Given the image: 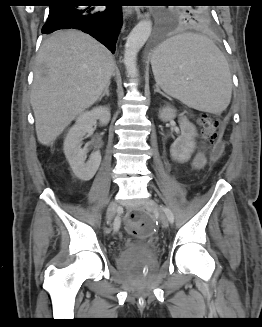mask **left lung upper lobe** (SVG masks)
Segmentation results:
<instances>
[{
    "label": "left lung upper lobe",
    "mask_w": 262,
    "mask_h": 327,
    "mask_svg": "<svg viewBox=\"0 0 262 327\" xmlns=\"http://www.w3.org/2000/svg\"><path fill=\"white\" fill-rule=\"evenodd\" d=\"M180 3H204L205 0H178ZM160 27L168 29L179 23L183 25H210L212 17L207 6H186L180 9L160 10Z\"/></svg>",
    "instance_id": "5c2ea615"
}]
</instances>
